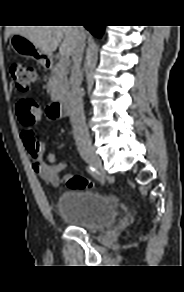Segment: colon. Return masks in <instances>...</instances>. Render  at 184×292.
Wrapping results in <instances>:
<instances>
[{
	"label": "colon",
	"mask_w": 184,
	"mask_h": 292,
	"mask_svg": "<svg viewBox=\"0 0 184 292\" xmlns=\"http://www.w3.org/2000/svg\"><path fill=\"white\" fill-rule=\"evenodd\" d=\"M10 74L16 87L21 92H27L36 79L35 69L21 61H14L10 65ZM16 113L20 123L26 127L36 125L41 120V112L36 102L31 98H22L16 105ZM65 182L68 188H92L93 183L78 174L66 176Z\"/></svg>",
	"instance_id": "obj_1"
}]
</instances>
